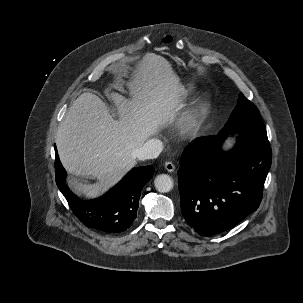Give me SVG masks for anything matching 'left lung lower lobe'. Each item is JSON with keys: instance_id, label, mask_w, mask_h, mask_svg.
Instances as JSON below:
<instances>
[{"instance_id": "1", "label": "left lung lower lobe", "mask_w": 303, "mask_h": 303, "mask_svg": "<svg viewBox=\"0 0 303 303\" xmlns=\"http://www.w3.org/2000/svg\"><path fill=\"white\" fill-rule=\"evenodd\" d=\"M227 136L197 138L180 160L182 215L203 236L224 232L257 210L271 166L269 144L240 135L235 148L224 152Z\"/></svg>"}]
</instances>
